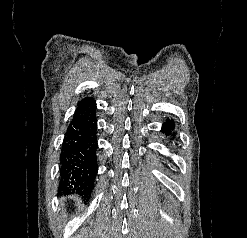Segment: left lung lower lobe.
I'll use <instances>...</instances> for the list:
<instances>
[{
  "instance_id": "1",
  "label": "left lung lower lobe",
  "mask_w": 247,
  "mask_h": 238,
  "mask_svg": "<svg viewBox=\"0 0 247 238\" xmlns=\"http://www.w3.org/2000/svg\"><path fill=\"white\" fill-rule=\"evenodd\" d=\"M174 123L173 121H166L164 126L162 127V131L165 132V134L169 135L171 134V131L170 130H173L174 129Z\"/></svg>"
}]
</instances>
